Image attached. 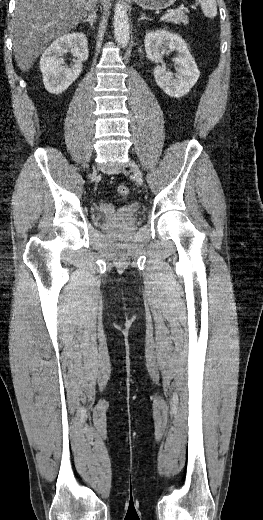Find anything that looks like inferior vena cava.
Listing matches in <instances>:
<instances>
[{
  "label": "inferior vena cava",
  "instance_id": "inferior-vena-cava-1",
  "mask_svg": "<svg viewBox=\"0 0 263 520\" xmlns=\"http://www.w3.org/2000/svg\"><path fill=\"white\" fill-rule=\"evenodd\" d=\"M96 1H97V0H91V1H90V9H92V11H94V6H95V4H96Z\"/></svg>",
  "mask_w": 263,
  "mask_h": 520
}]
</instances>
